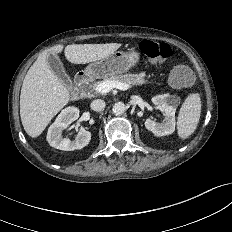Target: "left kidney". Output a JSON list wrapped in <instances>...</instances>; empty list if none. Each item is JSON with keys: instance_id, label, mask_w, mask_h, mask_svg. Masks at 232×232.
Here are the masks:
<instances>
[{"instance_id": "1", "label": "left kidney", "mask_w": 232, "mask_h": 232, "mask_svg": "<svg viewBox=\"0 0 232 232\" xmlns=\"http://www.w3.org/2000/svg\"><path fill=\"white\" fill-rule=\"evenodd\" d=\"M151 101L155 106L165 111V119L162 123H158L148 118L145 121V127L156 136L172 134L175 131V112L178 98L169 94H163L154 96Z\"/></svg>"}]
</instances>
